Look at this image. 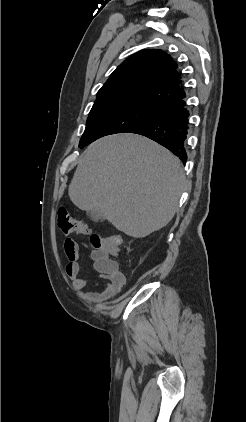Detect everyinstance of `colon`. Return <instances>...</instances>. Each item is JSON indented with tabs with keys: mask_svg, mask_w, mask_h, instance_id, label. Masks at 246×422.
Segmentation results:
<instances>
[{
	"mask_svg": "<svg viewBox=\"0 0 246 422\" xmlns=\"http://www.w3.org/2000/svg\"><path fill=\"white\" fill-rule=\"evenodd\" d=\"M58 226L65 234H80L90 236L91 246L94 251L102 254V269L104 272L115 275L120 268L116 259L123 238L120 233H113L101 237L99 233L86 223L72 218L65 208L58 210Z\"/></svg>",
	"mask_w": 246,
	"mask_h": 422,
	"instance_id": "5ec220e1",
	"label": "colon"
}]
</instances>
